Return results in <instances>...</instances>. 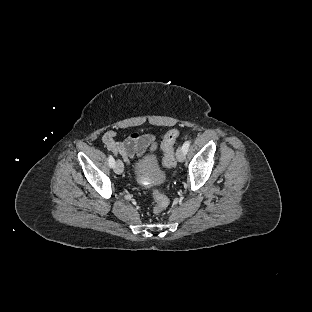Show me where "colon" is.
Returning a JSON list of instances; mask_svg holds the SVG:
<instances>
[{
  "label": "colon",
  "mask_w": 312,
  "mask_h": 312,
  "mask_svg": "<svg viewBox=\"0 0 312 312\" xmlns=\"http://www.w3.org/2000/svg\"><path fill=\"white\" fill-rule=\"evenodd\" d=\"M179 135L180 132L177 129L171 128L163 136L161 142V149L163 152L162 166L165 169H171L176 165L174 146ZM153 199L155 200V207L159 209H163L168 203L167 196L161 191H154Z\"/></svg>",
  "instance_id": "obj_1"
}]
</instances>
